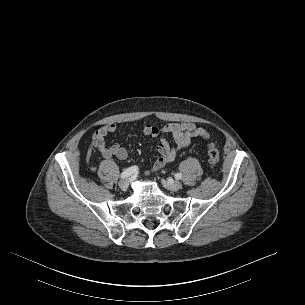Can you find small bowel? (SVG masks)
Instances as JSON below:
<instances>
[{
	"label": "small bowel",
	"mask_w": 305,
	"mask_h": 305,
	"mask_svg": "<svg viewBox=\"0 0 305 305\" xmlns=\"http://www.w3.org/2000/svg\"><path fill=\"white\" fill-rule=\"evenodd\" d=\"M135 130L143 135L157 139L156 149L158 157L154 160L151 170L146 174L158 171L165 165L175 160L179 151L187 147L195 138L208 139L209 134L206 129L197 126L195 123H168L162 127H157L151 124L138 126ZM117 126L113 123L100 127L94 135V145L99 149L104 158L116 157L120 160L127 158V150L118 143L111 146H106L105 139L108 135L117 133ZM161 134H170L175 140L177 146L172 147L166 138Z\"/></svg>",
	"instance_id": "1"
}]
</instances>
